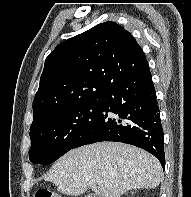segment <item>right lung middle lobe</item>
I'll use <instances>...</instances> for the list:
<instances>
[{"label": "right lung middle lobe", "instance_id": "1", "mask_svg": "<svg viewBox=\"0 0 191 197\" xmlns=\"http://www.w3.org/2000/svg\"><path fill=\"white\" fill-rule=\"evenodd\" d=\"M98 108L97 101L79 104L30 128V161L48 165L71 150L98 114Z\"/></svg>", "mask_w": 191, "mask_h": 197}]
</instances>
